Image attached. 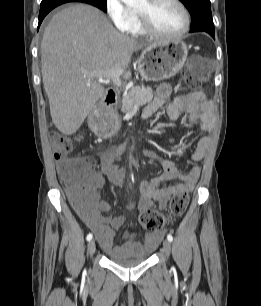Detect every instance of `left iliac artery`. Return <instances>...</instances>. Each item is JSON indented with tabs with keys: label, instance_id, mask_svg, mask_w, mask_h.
I'll list each match as a JSON object with an SVG mask.
<instances>
[{
	"label": "left iliac artery",
	"instance_id": "left-iliac-artery-1",
	"mask_svg": "<svg viewBox=\"0 0 261 306\" xmlns=\"http://www.w3.org/2000/svg\"><path fill=\"white\" fill-rule=\"evenodd\" d=\"M167 239H168L170 242H172V241H173L172 235H171V234H168V235H167Z\"/></svg>",
	"mask_w": 261,
	"mask_h": 306
}]
</instances>
